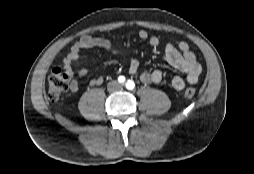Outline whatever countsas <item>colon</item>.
Segmentation results:
<instances>
[{
	"instance_id": "1",
	"label": "colon",
	"mask_w": 254,
	"mask_h": 174,
	"mask_svg": "<svg viewBox=\"0 0 254 174\" xmlns=\"http://www.w3.org/2000/svg\"><path fill=\"white\" fill-rule=\"evenodd\" d=\"M70 88V77L68 73L61 67L52 70L48 77V98L52 101L58 100ZM196 92L193 88H186L184 96L193 98Z\"/></svg>"
}]
</instances>
